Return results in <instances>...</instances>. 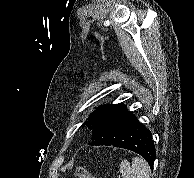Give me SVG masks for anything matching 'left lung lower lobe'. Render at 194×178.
I'll use <instances>...</instances> for the list:
<instances>
[{
    "label": "left lung lower lobe",
    "instance_id": "1",
    "mask_svg": "<svg viewBox=\"0 0 194 178\" xmlns=\"http://www.w3.org/2000/svg\"><path fill=\"white\" fill-rule=\"evenodd\" d=\"M89 145L129 149L140 154L153 169L156 153L151 132L122 103L99 120Z\"/></svg>",
    "mask_w": 194,
    "mask_h": 178
}]
</instances>
